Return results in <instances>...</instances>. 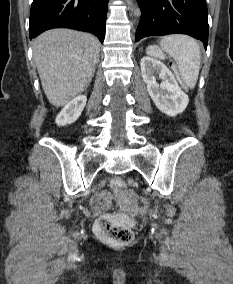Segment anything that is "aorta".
Returning <instances> with one entry per match:
<instances>
[{"label": "aorta", "instance_id": "aorta-1", "mask_svg": "<svg viewBox=\"0 0 233 284\" xmlns=\"http://www.w3.org/2000/svg\"><path fill=\"white\" fill-rule=\"evenodd\" d=\"M127 3H128V4H131V1H130V0H127Z\"/></svg>", "mask_w": 233, "mask_h": 284}]
</instances>
